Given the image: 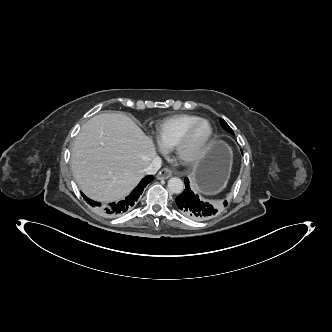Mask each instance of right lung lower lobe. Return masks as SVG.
<instances>
[{
    "mask_svg": "<svg viewBox=\"0 0 332 332\" xmlns=\"http://www.w3.org/2000/svg\"><path fill=\"white\" fill-rule=\"evenodd\" d=\"M154 177L152 175L146 176L143 178L140 183L137 185V187L130 193L129 196L126 197L125 200L119 201L117 203H111L110 205L103 208L104 212L109 215H118L123 214L135 204V202L138 200L140 195L142 194L144 187L147 186L150 182H152ZM84 200L90 204L91 206H100L101 203L93 201L86 197L83 193H81Z\"/></svg>",
    "mask_w": 332,
    "mask_h": 332,
    "instance_id": "98d812e1",
    "label": "right lung lower lobe"
}]
</instances>
